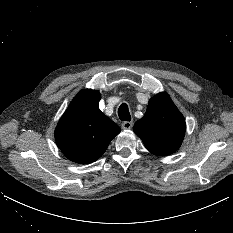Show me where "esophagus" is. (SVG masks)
<instances>
[{
    "instance_id": "1",
    "label": "esophagus",
    "mask_w": 233,
    "mask_h": 233,
    "mask_svg": "<svg viewBox=\"0 0 233 233\" xmlns=\"http://www.w3.org/2000/svg\"><path fill=\"white\" fill-rule=\"evenodd\" d=\"M133 126V122L132 121H125L122 123L121 127L122 129H131Z\"/></svg>"
}]
</instances>
